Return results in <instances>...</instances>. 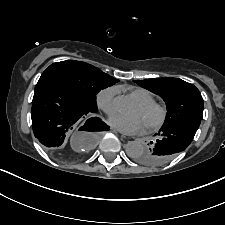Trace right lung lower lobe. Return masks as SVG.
Segmentation results:
<instances>
[{"label":"right lung lower lobe","mask_w":225,"mask_h":225,"mask_svg":"<svg viewBox=\"0 0 225 225\" xmlns=\"http://www.w3.org/2000/svg\"><path fill=\"white\" fill-rule=\"evenodd\" d=\"M95 113L61 84L50 79H39L32 101L31 118L35 137L49 149L60 147L75 123L85 115ZM85 118V117H83ZM92 131L108 130L97 117Z\"/></svg>","instance_id":"obj_1"}]
</instances>
